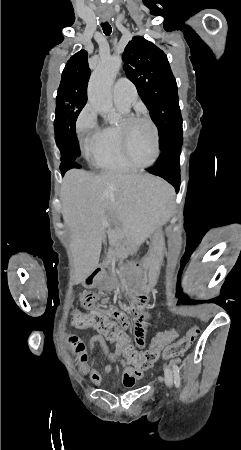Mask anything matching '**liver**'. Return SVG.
<instances>
[{"mask_svg": "<svg viewBox=\"0 0 241 450\" xmlns=\"http://www.w3.org/2000/svg\"><path fill=\"white\" fill-rule=\"evenodd\" d=\"M168 192L167 182L151 174L66 172L60 200L63 220L71 230L70 248L79 282L96 270L106 228L138 224L145 218L147 230H152ZM115 238L110 230L112 246Z\"/></svg>", "mask_w": 241, "mask_h": 450, "instance_id": "1", "label": "liver"}]
</instances>
